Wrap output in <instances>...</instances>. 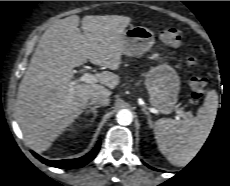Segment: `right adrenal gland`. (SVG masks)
<instances>
[{
  "mask_svg": "<svg viewBox=\"0 0 230 186\" xmlns=\"http://www.w3.org/2000/svg\"><path fill=\"white\" fill-rule=\"evenodd\" d=\"M100 106H88L87 108V110H86V112L87 113H89V112H92L93 113V118H92V120H91V122H93L94 120H95V118H96V116H97V109L99 108Z\"/></svg>",
  "mask_w": 230,
  "mask_h": 186,
  "instance_id": "1",
  "label": "right adrenal gland"
}]
</instances>
